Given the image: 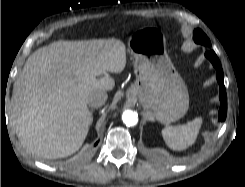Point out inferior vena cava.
<instances>
[{"instance_id": "inferior-vena-cava-1", "label": "inferior vena cava", "mask_w": 245, "mask_h": 187, "mask_svg": "<svg viewBox=\"0 0 245 187\" xmlns=\"http://www.w3.org/2000/svg\"><path fill=\"white\" fill-rule=\"evenodd\" d=\"M107 98H108V95L106 91L98 90L89 95L87 99V104L90 107L98 108L105 104V102L107 101Z\"/></svg>"}]
</instances>
